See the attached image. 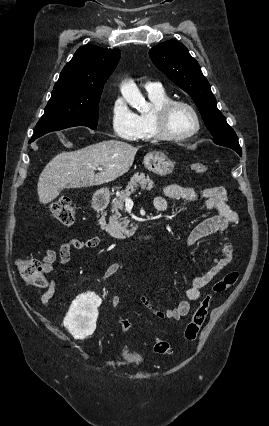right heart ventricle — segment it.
<instances>
[{"label":"right heart ventricle","mask_w":269,"mask_h":426,"mask_svg":"<svg viewBox=\"0 0 269 426\" xmlns=\"http://www.w3.org/2000/svg\"><path fill=\"white\" fill-rule=\"evenodd\" d=\"M148 98L151 102V110L149 112L137 115L139 126L138 138L141 140L156 139L151 125V115L156 108L170 100V97L164 91L160 93L148 92Z\"/></svg>","instance_id":"obj_1"}]
</instances>
